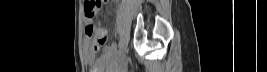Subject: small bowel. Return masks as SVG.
Masks as SVG:
<instances>
[{
    "label": "small bowel",
    "mask_w": 267,
    "mask_h": 72,
    "mask_svg": "<svg viewBox=\"0 0 267 72\" xmlns=\"http://www.w3.org/2000/svg\"><path fill=\"white\" fill-rule=\"evenodd\" d=\"M86 24H91L86 20ZM85 59L91 68V72H109L112 67V59L108 53L96 58V54L89 39L86 40Z\"/></svg>",
    "instance_id": "c3829d8e"
}]
</instances>
